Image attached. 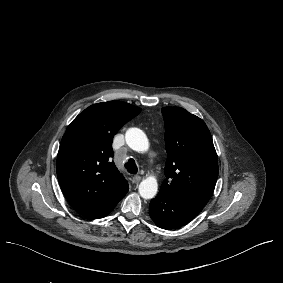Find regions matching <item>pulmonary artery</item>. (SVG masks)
<instances>
[{
  "mask_svg": "<svg viewBox=\"0 0 283 283\" xmlns=\"http://www.w3.org/2000/svg\"><path fill=\"white\" fill-rule=\"evenodd\" d=\"M148 160H149L151 163H154V162L157 160V157H156L154 154H151V155L148 157Z\"/></svg>",
  "mask_w": 283,
  "mask_h": 283,
  "instance_id": "obj_1",
  "label": "pulmonary artery"
}]
</instances>
